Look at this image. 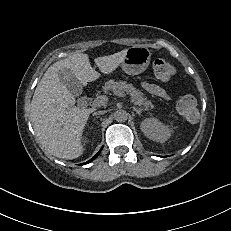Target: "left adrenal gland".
I'll return each mask as SVG.
<instances>
[{"label": "left adrenal gland", "mask_w": 231, "mask_h": 231, "mask_svg": "<svg viewBox=\"0 0 231 231\" xmlns=\"http://www.w3.org/2000/svg\"><path fill=\"white\" fill-rule=\"evenodd\" d=\"M133 110H134L138 115H141L142 111H145L146 109H143V108H136L135 106H133Z\"/></svg>", "instance_id": "1"}]
</instances>
